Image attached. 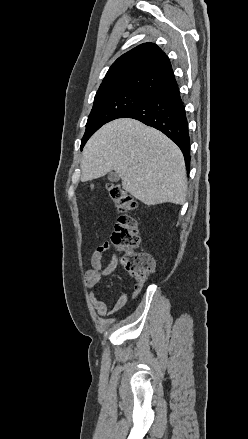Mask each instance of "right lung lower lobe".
Listing matches in <instances>:
<instances>
[{
	"label": "right lung lower lobe",
	"instance_id": "obj_1",
	"mask_svg": "<svg viewBox=\"0 0 248 439\" xmlns=\"http://www.w3.org/2000/svg\"><path fill=\"white\" fill-rule=\"evenodd\" d=\"M120 118H133L163 132L180 147L189 173L190 138L185 108L176 82L149 96Z\"/></svg>",
	"mask_w": 248,
	"mask_h": 439
}]
</instances>
